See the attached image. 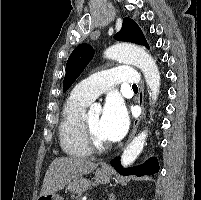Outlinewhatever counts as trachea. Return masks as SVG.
Segmentation results:
<instances>
[{"label": "trachea", "instance_id": "trachea-1", "mask_svg": "<svg viewBox=\"0 0 201 200\" xmlns=\"http://www.w3.org/2000/svg\"><path fill=\"white\" fill-rule=\"evenodd\" d=\"M132 88H133V89H138L137 85H135V84L132 85Z\"/></svg>", "mask_w": 201, "mask_h": 200}]
</instances>
